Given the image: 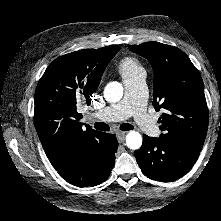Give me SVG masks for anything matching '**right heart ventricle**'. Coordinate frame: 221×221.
Returning a JSON list of instances; mask_svg holds the SVG:
<instances>
[{
    "label": "right heart ventricle",
    "instance_id": "1",
    "mask_svg": "<svg viewBox=\"0 0 221 221\" xmlns=\"http://www.w3.org/2000/svg\"><path fill=\"white\" fill-rule=\"evenodd\" d=\"M118 70L122 79H132L141 72H145L140 60L133 56H127L118 63Z\"/></svg>",
    "mask_w": 221,
    "mask_h": 221
}]
</instances>
